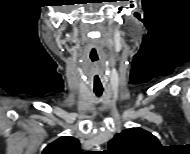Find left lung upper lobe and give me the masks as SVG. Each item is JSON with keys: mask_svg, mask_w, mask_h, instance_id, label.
Masks as SVG:
<instances>
[{"mask_svg": "<svg viewBox=\"0 0 190 154\" xmlns=\"http://www.w3.org/2000/svg\"><path fill=\"white\" fill-rule=\"evenodd\" d=\"M161 148L158 139L141 128H130L114 136L107 154H152Z\"/></svg>", "mask_w": 190, "mask_h": 154, "instance_id": "obj_1", "label": "left lung upper lobe"}]
</instances>
